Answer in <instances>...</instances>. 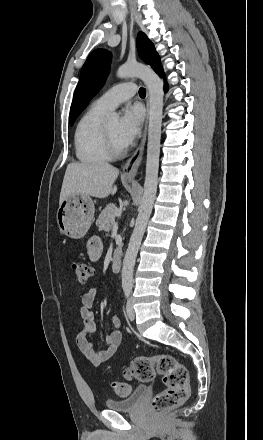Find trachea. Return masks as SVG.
Listing matches in <instances>:
<instances>
[{
    "label": "trachea",
    "instance_id": "obj_1",
    "mask_svg": "<svg viewBox=\"0 0 263 440\" xmlns=\"http://www.w3.org/2000/svg\"><path fill=\"white\" fill-rule=\"evenodd\" d=\"M139 95H140L141 97H145V95H146V89H145V88H140V89H139Z\"/></svg>",
    "mask_w": 263,
    "mask_h": 440
}]
</instances>
